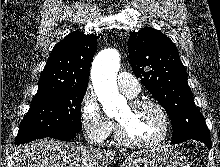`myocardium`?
<instances>
[{
	"mask_svg": "<svg viewBox=\"0 0 220 167\" xmlns=\"http://www.w3.org/2000/svg\"><path fill=\"white\" fill-rule=\"evenodd\" d=\"M129 106L133 109H138L146 106H151L157 109L163 118L164 128L162 133L154 139L134 140L128 136L121 123L119 121H116L115 137L121 145L132 148L154 147L160 145L168 138L171 132L172 123L167 110L161 103L151 99H135L130 101Z\"/></svg>",
	"mask_w": 220,
	"mask_h": 167,
	"instance_id": "1",
	"label": "myocardium"
}]
</instances>
